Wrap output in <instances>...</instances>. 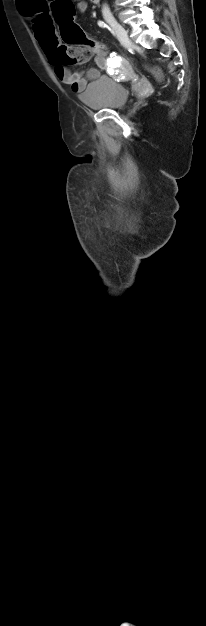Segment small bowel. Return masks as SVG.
I'll list each match as a JSON object with an SVG mask.
<instances>
[{
  "label": "small bowel",
  "instance_id": "c3829d8e",
  "mask_svg": "<svg viewBox=\"0 0 206 626\" xmlns=\"http://www.w3.org/2000/svg\"><path fill=\"white\" fill-rule=\"evenodd\" d=\"M88 5L84 0H78L77 10L83 14L87 11ZM33 16V31L35 38L47 56L49 61L55 66V75L62 83L71 87L74 92H82L88 82L95 79L99 75V70L92 68L86 73L83 72H71L65 64L58 61V50L60 44L55 35L51 20L41 10L32 13ZM96 63L100 69L111 68V63H116L121 72L128 70V63L126 60L120 58L116 54H111L109 57H105L102 52H99L96 57Z\"/></svg>",
  "mask_w": 206,
  "mask_h": 626
}]
</instances>
